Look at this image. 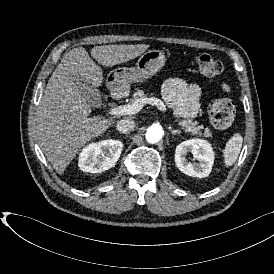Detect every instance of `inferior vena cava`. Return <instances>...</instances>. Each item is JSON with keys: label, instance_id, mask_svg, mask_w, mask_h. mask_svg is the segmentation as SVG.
<instances>
[{"label": "inferior vena cava", "instance_id": "inferior-vena-cava-1", "mask_svg": "<svg viewBox=\"0 0 274 274\" xmlns=\"http://www.w3.org/2000/svg\"><path fill=\"white\" fill-rule=\"evenodd\" d=\"M135 122L131 119H126V120H120L116 124V129L119 131L121 134H127L130 133L132 130L135 128Z\"/></svg>", "mask_w": 274, "mask_h": 274}]
</instances>
